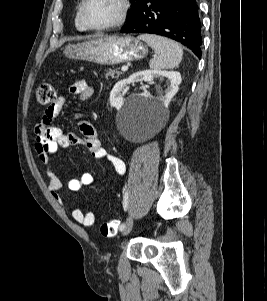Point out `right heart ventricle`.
I'll use <instances>...</instances> for the list:
<instances>
[{
    "label": "right heart ventricle",
    "mask_w": 267,
    "mask_h": 301,
    "mask_svg": "<svg viewBox=\"0 0 267 301\" xmlns=\"http://www.w3.org/2000/svg\"><path fill=\"white\" fill-rule=\"evenodd\" d=\"M75 27L79 31H85L86 29L82 25L80 21V15H79V8L77 9L76 15H75Z\"/></svg>",
    "instance_id": "e07e8e85"
}]
</instances>
